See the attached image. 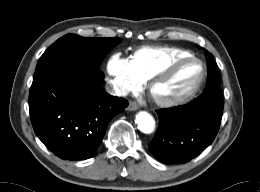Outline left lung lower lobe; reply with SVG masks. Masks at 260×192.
<instances>
[{
  "instance_id": "left-lung-lower-lobe-1",
  "label": "left lung lower lobe",
  "mask_w": 260,
  "mask_h": 192,
  "mask_svg": "<svg viewBox=\"0 0 260 192\" xmlns=\"http://www.w3.org/2000/svg\"><path fill=\"white\" fill-rule=\"evenodd\" d=\"M221 93H203L193 102L157 111L159 127L148 149L165 164L186 163L214 140L221 123Z\"/></svg>"
}]
</instances>
